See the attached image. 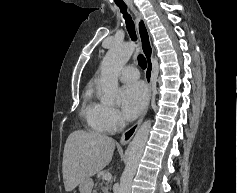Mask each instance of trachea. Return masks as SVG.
<instances>
[{
  "label": "trachea",
  "mask_w": 237,
  "mask_h": 193,
  "mask_svg": "<svg viewBox=\"0 0 237 193\" xmlns=\"http://www.w3.org/2000/svg\"><path fill=\"white\" fill-rule=\"evenodd\" d=\"M119 8H120L121 13L123 14L124 19H125L126 28H127V31L129 33L131 39L133 41H136L137 40V36H136V32H135V25H134V22H133L131 16L127 13V8L126 7H122V6H119ZM138 63H139V66L142 69H146L147 61H146L145 57L142 54H140L138 56Z\"/></svg>",
  "instance_id": "obj_1"
}]
</instances>
